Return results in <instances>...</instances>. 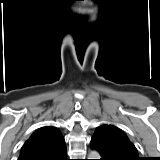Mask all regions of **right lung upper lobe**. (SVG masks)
Masks as SVG:
<instances>
[{
	"mask_svg": "<svg viewBox=\"0 0 160 160\" xmlns=\"http://www.w3.org/2000/svg\"><path fill=\"white\" fill-rule=\"evenodd\" d=\"M66 151L61 132L52 126L36 130L22 146L18 160H55Z\"/></svg>",
	"mask_w": 160,
	"mask_h": 160,
	"instance_id": "cb5924a9",
	"label": "right lung upper lobe"
}]
</instances>
